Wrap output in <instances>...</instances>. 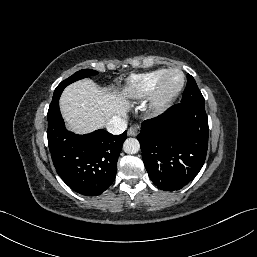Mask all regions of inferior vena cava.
<instances>
[{"mask_svg": "<svg viewBox=\"0 0 257 257\" xmlns=\"http://www.w3.org/2000/svg\"><path fill=\"white\" fill-rule=\"evenodd\" d=\"M106 130L114 135L122 134L127 128V122L124 118L114 115L107 121Z\"/></svg>", "mask_w": 257, "mask_h": 257, "instance_id": "1", "label": "inferior vena cava"}]
</instances>
